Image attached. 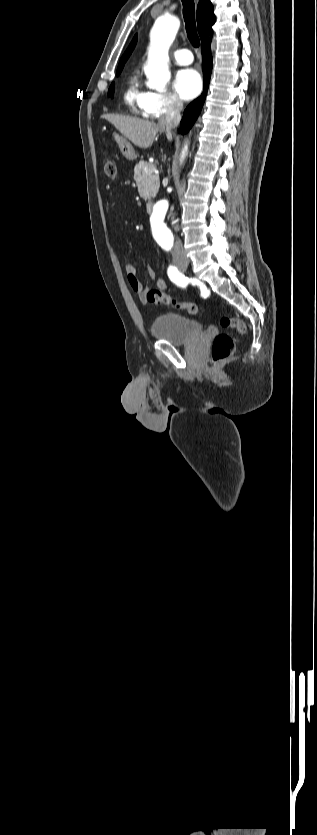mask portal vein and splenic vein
<instances>
[{"label":"portal vein and splenic vein","mask_w":317,"mask_h":835,"mask_svg":"<svg viewBox=\"0 0 317 835\" xmlns=\"http://www.w3.org/2000/svg\"><path fill=\"white\" fill-rule=\"evenodd\" d=\"M151 168H152V170H153L155 173H157V170H156V166H155V165H153ZM149 170H150L149 168H145V169H144V171H145V172H148Z\"/></svg>","instance_id":"obj_1"}]
</instances>
